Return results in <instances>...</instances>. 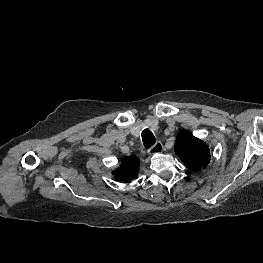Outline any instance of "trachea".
<instances>
[{"instance_id":"trachea-1","label":"trachea","mask_w":263,"mask_h":263,"mask_svg":"<svg viewBox=\"0 0 263 263\" xmlns=\"http://www.w3.org/2000/svg\"><path fill=\"white\" fill-rule=\"evenodd\" d=\"M142 141L146 149L151 148L156 143V138L149 129L142 131Z\"/></svg>"}]
</instances>
